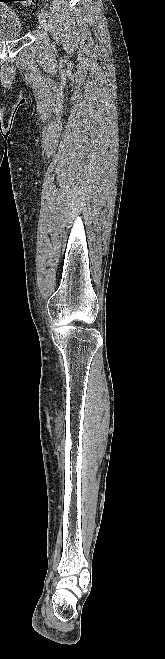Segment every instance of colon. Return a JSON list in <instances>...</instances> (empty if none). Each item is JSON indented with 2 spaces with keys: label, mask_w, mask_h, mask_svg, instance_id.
<instances>
[{
  "label": "colon",
  "mask_w": 165,
  "mask_h": 659,
  "mask_svg": "<svg viewBox=\"0 0 165 659\" xmlns=\"http://www.w3.org/2000/svg\"><path fill=\"white\" fill-rule=\"evenodd\" d=\"M21 1L26 2V3H31L33 0H21Z\"/></svg>",
  "instance_id": "obj_1"
}]
</instances>
